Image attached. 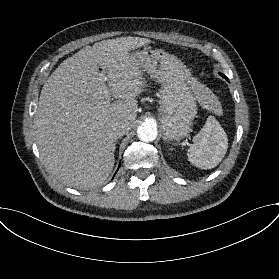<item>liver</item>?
I'll list each match as a JSON object with an SVG mask.
<instances>
[{
  "label": "liver",
  "instance_id": "liver-1",
  "mask_svg": "<svg viewBox=\"0 0 279 279\" xmlns=\"http://www.w3.org/2000/svg\"><path fill=\"white\" fill-rule=\"evenodd\" d=\"M150 43L128 36L85 46L47 79L35 113V133L41 156L64 184L88 189L107 183L115 163L112 129L117 124L130 129L144 86L141 63L129 51ZM188 80L199 99L202 85L193 77ZM106 83L118 99L113 103L102 92Z\"/></svg>",
  "mask_w": 279,
  "mask_h": 279
}]
</instances>
